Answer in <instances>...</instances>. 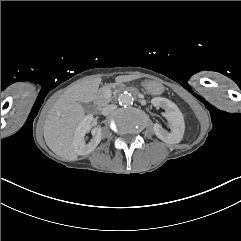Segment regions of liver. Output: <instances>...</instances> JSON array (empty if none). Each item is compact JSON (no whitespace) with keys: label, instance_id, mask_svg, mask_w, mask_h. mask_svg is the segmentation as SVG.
<instances>
[{"label":"liver","instance_id":"obj_1","mask_svg":"<svg viewBox=\"0 0 241 241\" xmlns=\"http://www.w3.org/2000/svg\"><path fill=\"white\" fill-rule=\"evenodd\" d=\"M101 80L100 77L88 78L74 84L51 107L44 124V139L56 155L77 160L72 137L85 115L81 102L88 103L96 98Z\"/></svg>","mask_w":241,"mask_h":241}]
</instances>
